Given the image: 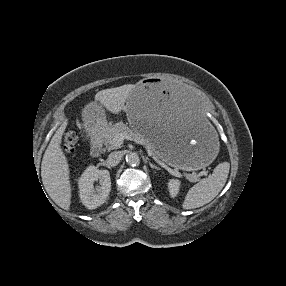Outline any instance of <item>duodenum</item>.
<instances>
[{
  "instance_id": "410a0bca",
  "label": "duodenum",
  "mask_w": 286,
  "mask_h": 286,
  "mask_svg": "<svg viewBox=\"0 0 286 286\" xmlns=\"http://www.w3.org/2000/svg\"><path fill=\"white\" fill-rule=\"evenodd\" d=\"M102 153V139L99 133H93L91 135V150L92 157L97 158Z\"/></svg>"
}]
</instances>
